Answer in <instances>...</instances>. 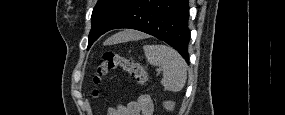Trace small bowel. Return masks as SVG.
<instances>
[{
    "label": "small bowel",
    "mask_w": 285,
    "mask_h": 115,
    "mask_svg": "<svg viewBox=\"0 0 285 115\" xmlns=\"http://www.w3.org/2000/svg\"><path fill=\"white\" fill-rule=\"evenodd\" d=\"M153 104L149 96L142 95L136 101H131L125 106L111 107L107 115H151Z\"/></svg>",
    "instance_id": "small-bowel-1"
}]
</instances>
